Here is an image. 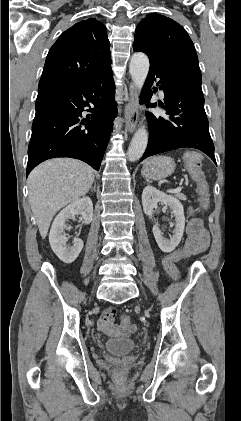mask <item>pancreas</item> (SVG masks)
Returning <instances> with one entry per match:
<instances>
[{"instance_id":"cf45deb5","label":"pancreas","mask_w":241,"mask_h":421,"mask_svg":"<svg viewBox=\"0 0 241 421\" xmlns=\"http://www.w3.org/2000/svg\"><path fill=\"white\" fill-rule=\"evenodd\" d=\"M175 196L177 198H179L180 200H183V201L186 200V196L184 194H182V193H176Z\"/></svg>"}]
</instances>
